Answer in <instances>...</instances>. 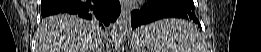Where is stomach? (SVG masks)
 <instances>
[{
	"instance_id": "stomach-1",
	"label": "stomach",
	"mask_w": 261,
	"mask_h": 52,
	"mask_svg": "<svg viewBox=\"0 0 261 52\" xmlns=\"http://www.w3.org/2000/svg\"><path fill=\"white\" fill-rule=\"evenodd\" d=\"M131 43L136 47V48H144L146 46H149L150 42L146 38L145 34L143 33V29H138L133 33L131 37Z\"/></svg>"
}]
</instances>
